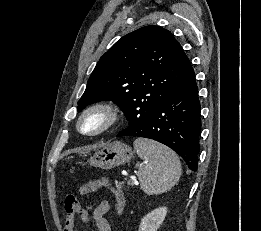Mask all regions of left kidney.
I'll list each match as a JSON object with an SVG mask.
<instances>
[{
    "instance_id": "left-kidney-1",
    "label": "left kidney",
    "mask_w": 261,
    "mask_h": 231,
    "mask_svg": "<svg viewBox=\"0 0 261 231\" xmlns=\"http://www.w3.org/2000/svg\"><path fill=\"white\" fill-rule=\"evenodd\" d=\"M167 214L166 207H159L141 219L138 231H157Z\"/></svg>"
}]
</instances>
